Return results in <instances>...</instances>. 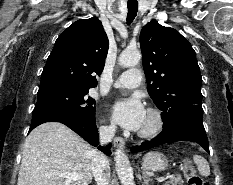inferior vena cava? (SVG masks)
<instances>
[{
  "instance_id": "inferior-vena-cava-1",
  "label": "inferior vena cava",
  "mask_w": 233,
  "mask_h": 185,
  "mask_svg": "<svg viewBox=\"0 0 233 185\" xmlns=\"http://www.w3.org/2000/svg\"><path fill=\"white\" fill-rule=\"evenodd\" d=\"M116 131L115 124L99 128V139L101 145L109 143ZM92 174L97 182V185H110V165L107 157L104 154L97 153L92 158L91 163Z\"/></svg>"
}]
</instances>
